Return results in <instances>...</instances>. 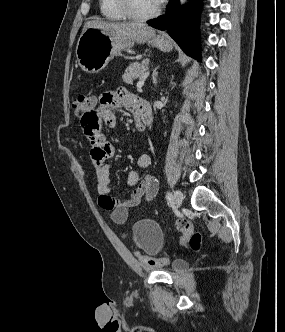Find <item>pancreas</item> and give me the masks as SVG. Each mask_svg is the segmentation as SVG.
Listing matches in <instances>:
<instances>
[{"label": "pancreas", "mask_w": 285, "mask_h": 332, "mask_svg": "<svg viewBox=\"0 0 285 332\" xmlns=\"http://www.w3.org/2000/svg\"><path fill=\"white\" fill-rule=\"evenodd\" d=\"M149 59L134 62L125 69L122 78L125 83L132 84L135 79H142L148 71Z\"/></svg>", "instance_id": "obj_1"}]
</instances>
